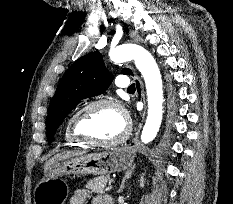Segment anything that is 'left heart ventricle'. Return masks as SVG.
<instances>
[{"label": "left heart ventricle", "mask_w": 233, "mask_h": 204, "mask_svg": "<svg viewBox=\"0 0 233 204\" xmlns=\"http://www.w3.org/2000/svg\"><path fill=\"white\" fill-rule=\"evenodd\" d=\"M125 129L122 115L108 106L95 107L79 120L78 131L95 141H110L119 137Z\"/></svg>", "instance_id": "1"}]
</instances>
